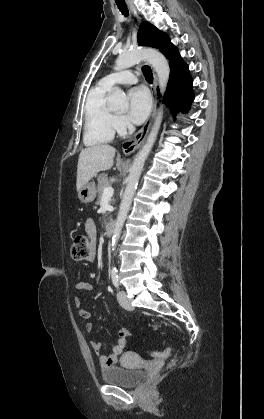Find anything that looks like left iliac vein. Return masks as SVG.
Here are the masks:
<instances>
[{
  "label": "left iliac vein",
  "instance_id": "1",
  "mask_svg": "<svg viewBox=\"0 0 264 419\" xmlns=\"http://www.w3.org/2000/svg\"><path fill=\"white\" fill-rule=\"evenodd\" d=\"M119 304L126 310H133V306L129 301L127 294L125 291L120 290L117 294Z\"/></svg>",
  "mask_w": 264,
  "mask_h": 419
}]
</instances>
